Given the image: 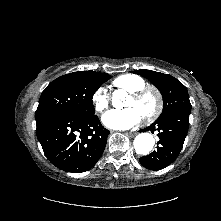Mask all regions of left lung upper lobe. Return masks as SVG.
Listing matches in <instances>:
<instances>
[{"label": "left lung upper lobe", "instance_id": "1", "mask_svg": "<svg viewBox=\"0 0 221 221\" xmlns=\"http://www.w3.org/2000/svg\"><path fill=\"white\" fill-rule=\"evenodd\" d=\"M131 72L147 78L161 92L164 106L163 111L157 120L164 119L169 115L177 113L190 114L191 103L188 91L179 80L171 75L146 69Z\"/></svg>", "mask_w": 221, "mask_h": 221}]
</instances>
